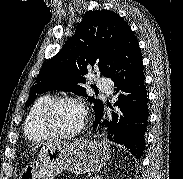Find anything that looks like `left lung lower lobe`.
Instances as JSON below:
<instances>
[{
	"label": "left lung lower lobe",
	"mask_w": 183,
	"mask_h": 179,
	"mask_svg": "<svg viewBox=\"0 0 183 179\" xmlns=\"http://www.w3.org/2000/svg\"><path fill=\"white\" fill-rule=\"evenodd\" d=\"M109 78L116 86L115 94L120 92L115 103L118 113L104 118L102 110L96 115L93 129L102 128L108 140L125 146L140 159L145 147L149 110L141 51L131 29L126 32Z\"/></svg>",
	"instance_id": "left-lung-lower-lobe-1"
}]
</instances>
